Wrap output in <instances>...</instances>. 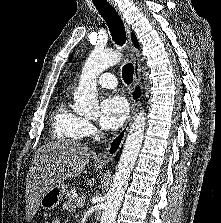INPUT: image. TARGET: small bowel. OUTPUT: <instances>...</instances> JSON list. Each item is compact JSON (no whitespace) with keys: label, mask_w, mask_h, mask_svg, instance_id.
<instances>
[{"label":"small bowel","mask_w":221,"mask_h":223,"mask_svg":"<svg viewBox=\"0 0 221 223\" xmlns=\"http://www.w3.org/2000/svg\"><path fill=\"white\" fill-rule=\"evenodd\" d=\"M54 223H61L59 220L55 221Z\"/></svg>","instance_id":"obj_1"}]
</instances>
